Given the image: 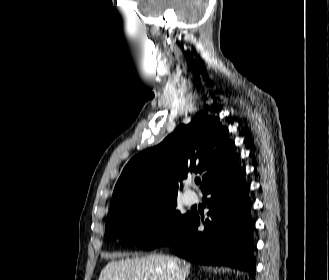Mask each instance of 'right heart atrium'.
<instances>
[{"instance_id": "obj_1", "label": "right heart atrium", "mask_w": 329, "mask_h": 280, "mask_svg": "<svg viewBox=\"0 0 329 280\" xmlns=\"http://www.w3.org/2000/svg\"><path fill=\"white\" fill-rule=\"evenodd\" d=\"M154 222H155V217L150 216V217L147 219V221H146V226H147V227H150V226H152V225L154 224Z\"/></svg>"}]
</instances>
